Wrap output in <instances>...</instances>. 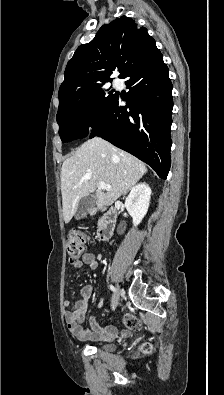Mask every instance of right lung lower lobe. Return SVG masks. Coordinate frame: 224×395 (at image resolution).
<instances>
[{
    "instance_id": "1",
    "label": "right lung lower lobe",
    "mask_w": 224,
    "mask_h": 395,
    "mask_svg": "<svg viewBox=\"0 0 224 395\" xmlns=\"http://www.w3.org/2000/svg\"><path fill=\"white\" fill-rule=\"evenodd\" d=\"M163 56L155 47L135 61L127 78V97L117 95L91 130L96 136L133 154L166 179L170 165L172 84ZM126 105L121 106L120 102Z\"/></svg>"
}]
</instances>
